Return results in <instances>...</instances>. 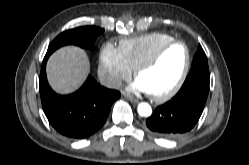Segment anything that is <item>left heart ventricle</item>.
I'll list each match as a JSON object with an SVG mask.
<instances>
[{
	"label": "left heart ventricle",
	"mask_w": 249,
	"mask_h": 165,
	"mask_svg": "<svg viewBox=\"0 0 249 165\" xmlns=\"http://www.w3.org/2000/svg\"><path fill=\"white\" fill-rule=\"evenodd\" d=\"M186 60L183 45L169 47L161 58L148 69L141 72L137 79L151 94H161L171 89L177 82Z\"/></svg>",
	"instance_id": "b2bd125f"
}]
</instances>
